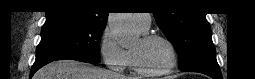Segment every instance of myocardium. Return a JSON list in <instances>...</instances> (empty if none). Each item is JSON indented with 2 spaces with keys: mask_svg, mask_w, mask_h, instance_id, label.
<instances>
[{
  "mask_svg": "<svg viewBox=\"0 0 255 79\" xmlns=\"http://www.w3.org/2000/svg\"><path fill=\"white\" fill-rule=\"evenodd\" d=\"M156 39L163 41L167 45V47L169 49V53H170L169 62L166 65V67L163 68L162 70L148 71L142 67L136 54L132 51L131 52L132 65H133L135 71L140 75L151 76V77L161 76V75L169 73L175 67V65L177 63V50H176L174 44L172 43V41L170 39H168L166 36H164L162 34L152 33V34H147L142 38V40L144 42H150V41H153Z\"/></svg>",
  "mask_w": 255,
  "mask_h": 79,
  "instance_id": "myocardium-1",
  "label": "myocardium"
}]
</instances>
